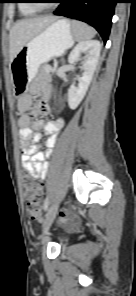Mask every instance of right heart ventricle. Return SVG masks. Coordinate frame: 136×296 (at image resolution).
<instances>
[{
	"label": "right heart ventricle",
	"instance_id": "e07e8e85",
	"mask_svg": "<svg viewBox=\"0 0 136 296\" xmlns=\"http://www.w3.org/2000/svg\"><path fill=\"white\" fill-rule=\"evenodd\" d=\"M19 9L25 16L34 15L37 12V9L32 7V5L29 3V0H22Z\"/></svg>",
	"mask_w": 136,
	"mask_h": 296
}]
</instances>
